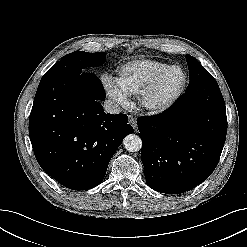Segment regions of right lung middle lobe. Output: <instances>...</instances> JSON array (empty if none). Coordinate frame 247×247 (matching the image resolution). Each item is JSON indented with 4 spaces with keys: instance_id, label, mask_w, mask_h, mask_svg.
<instances>
[{
    "instance_id": "dd1d6c3e",
    "label": "right lung middle lobe",
    "mask_w": 247,
    "mask_h": 247,
    "mask_svg": "<svg viewBox=\"0 0 247 247\" xmlns=\"http://www.w3.org/2000/svg\"><path fill=\"white\" fill-rule=\"evenodd\" d=\"M105 52L89 53L84 51H75L65 55L60 61L55 63L45 74V76L54 75L66 70L86 71L91 67H98L105 61Z\"/></svg>"
}]
</instances>
